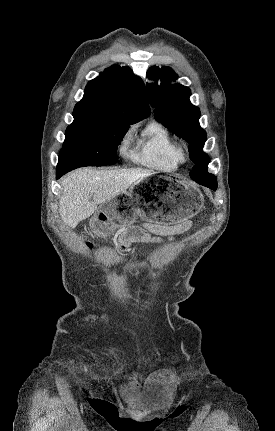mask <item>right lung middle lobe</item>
Wrapping results in <instances>:
<instances>
[{
  "instance_id": "1",
  "label": "right lung middle lobe",
  "mask_w": 275,
  "mask_h": 431,
  "mask_svg": "<svg viewBox=\"0 0 275 431\" xmlns=\"http://www.w3.org/2000/svg\"><path fill=\"white\" fill-rule=\"evenodd\" d=\"M129 123L114 118H74L67 127L57 169L68 172L82 166L117 162V148Z\"/></svg>"
}]
</instances>
